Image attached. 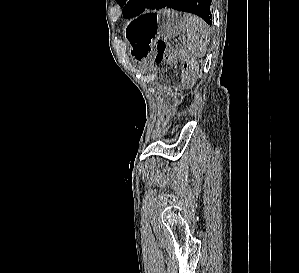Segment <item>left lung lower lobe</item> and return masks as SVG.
<instances>
[{"mask_svg":"<svg viewBox=\"0 0 299 273\" xmlns=\"http://www.w3.org/2000/svg\"><path fill=\"white\" fill-rule=\"evenodd\" d=\"M164 7L196 14L208 24L212 22L211 0H148L145 10L161 9Z\"/></svg>","mask_w":299,"mask_h":273,"instance_id":"left-lung-lower-lobe-1","label":"left lung lower lobe"}]
</instances>
